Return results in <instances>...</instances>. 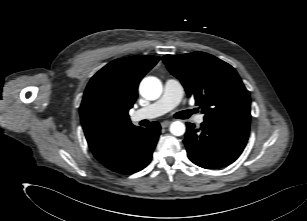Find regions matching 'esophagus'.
<instances>
[{
	"instance_id": "34e87169",
	"label": "esophagus",
	"mask_w": 307,
	"mask_h": 221,
	"mask_svg": "<svg viewBox=\"0 0 307 221\" xmlns=\"http://www.w3.org/2000/svg\"><path fill=\"white\" fill-rule=\"evenodd\" d=\"M170 121H163L162 123H161V127L162 128H166V127H168L169 125H170Z\"/></svg>"
}]
</instances>
